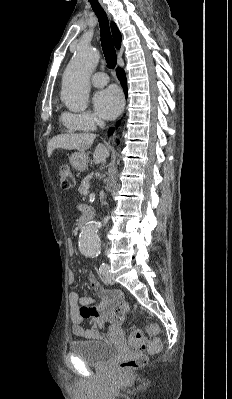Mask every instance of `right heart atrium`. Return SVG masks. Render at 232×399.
<instances>
[{"label": "right heart atrium", "mask_w": 232, "mask_h": 399, "mask_svg": "<svg viewBox=\"0 0 232 399\" xmlns=\"http://www.w3.org/2000/svg\"><path fill=\"white\" fill-rule=\"evenodd\" d=\"M66 104H79V103H66ZM64 117L67 120L75 122L84 130H91L97 122L96 117L90 112L82 113H65Z\"/></svg>", "instance_id": "right-heart-atrium-1"}]
</instances>
